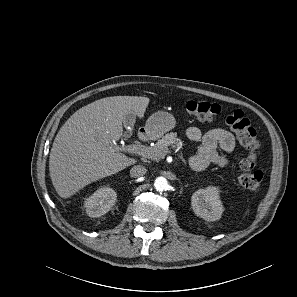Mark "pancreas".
<instances>
[{
	"instance_id": "pancreas-1",
	"label": "pancreas",
	"mask_w": 297,
	"mask_h": 297,
	"mask_svg": "<svg viewBox=\"0 0 297 297\" xmlns=\"http://www.w3.org/2000/svg\"><path fill=\"white\" fill-rule=\"evenodd\" d=\"M182 145L183 142L177 137V133L170 132L164 135L162 139L158 140L154 147H151L153 155L149 158L152 160H160L164 158L168 152H170L169 146H171V148L181 149Z\"/></svg>"
}]
</instances>
